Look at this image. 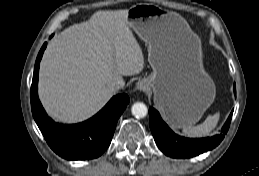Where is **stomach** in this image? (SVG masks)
I'll use <instances>...</instances> for the list:
<instances>
[{
    "label": "stomach",
    "instance_id": "stomach-1",
    "mask_svg": "<svg viewBox=\"0 0 259 176\" xmlns=\"http://www.w3.org/2000/svg\"><path fill=\"white\" fill-rule=\"evenodd\" d=\"M127 21L148 44L153 72L143 81L153 91L163 117L177 128L198 122L216 94L213 81L202 69L198 37L180 16L157 5H133Z\"/></svg>",
    "mask_w": 259,
    "mask_h": 176
}]
</instances>
